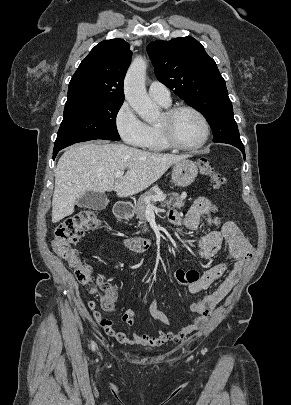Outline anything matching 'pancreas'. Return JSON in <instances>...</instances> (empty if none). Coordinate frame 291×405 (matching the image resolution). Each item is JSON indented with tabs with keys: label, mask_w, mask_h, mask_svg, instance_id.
Instances as JSON below:
<instances>
[{
	"label": "pancreas",
	"mask_w": 291,
	"mask_h": 405,
	"mask_svg": "<svg viewBox=\"0 0 291 405\" xmlns=\"http://www.w3.org/2000/svg\"><path fill=\"white\" fill-rule=\"evenodd\" d=\"M154 195H158V193L155 190H149L148 192H146L145 194H143L137 204H136V208H135V213L137 215V218H139L140 221H145V212L147 209V203H146V198H151ZM184 200L185 197L183 196H179L177 193H174L173 196L170 198L169 201H165V203L167 204V206L172 205L175 208L180 209L181 207L184 206ZM150 202L152 204H155L156 201L150 199ZM148 228L146 227V224L144 225V231H147Z\"/></svg>",
	"instance_id": "cf45deb5"
}]
</instances>
